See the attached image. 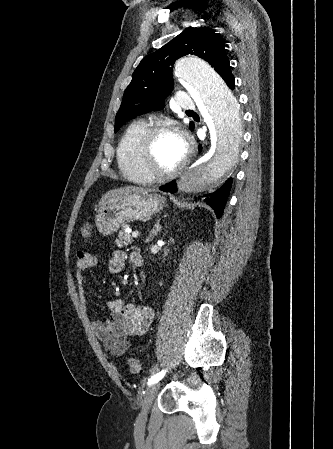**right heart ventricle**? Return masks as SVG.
Returning <instances> with one entry per match:
<instances>
[{
	"label": "right heart ventricle",
	"instance_id": "obj_1",
	"mask_svg": "<svg viewBox=\"0 0 333 449\" xmlns=\"http://www.w3.org/2000/svg\"><path fill=\"white\" fill-rule=\"evenodd\" d=\"M147 128L143 121L132 122L124 131L117 146V162L124 177L137 183H150L152 180L143 172L139 160V144Z\"/></svg>",
	"mask_w": 333,
	"mask_h": 449
}]
</instances>
